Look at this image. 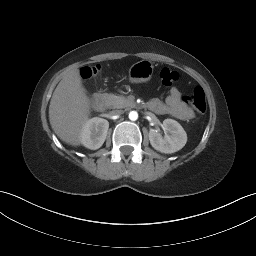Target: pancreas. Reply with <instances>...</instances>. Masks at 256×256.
Wrapping results in <instances>:
<instances>
[{
	"mask_svg": "<svg viewBox=\"0 0 256 256\" xmlns=\"http://www.w3.org/2000/svg\"><path fill=\"white\" fill-rule=\"evenodd\" d=\"M104 97L111 108H124L131 104V101L124 96L106 93Z\"/></svg>",
	"mask_w": 256,
	"mask_h": 256,
	"instance_id": "1",
	"label": "pancreas"
}]
</instances>
